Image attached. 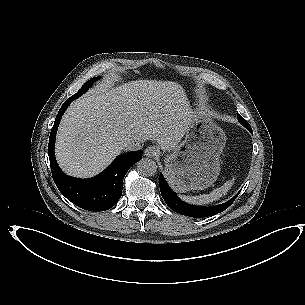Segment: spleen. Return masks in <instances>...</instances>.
I'll list each match as a JSON object with an SVG mask.
<instances>
[{"mask_svg":"<svg viewBox=\"0 0 305 305\" xmlns=\"http://www.w3.org/2000/svg\"><path fill=\"white\" fill-rule=\"evenodd\" d=\"M231 186V181H227L219 188H215L213 191H211L209 194H202L198 196H185V195H179V197L193 205H206L209 203H212L213 201L219 200L223 195L227 193Z\"/></svg>","mask_w":305,"mask_h":305,"instance_id":"3e777b00","label":"spleen"}]
</instances>
